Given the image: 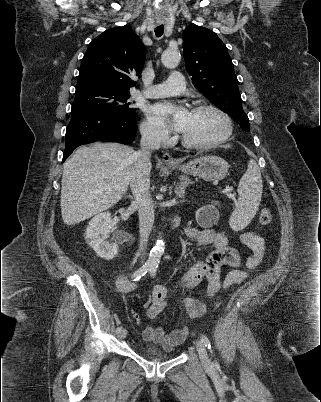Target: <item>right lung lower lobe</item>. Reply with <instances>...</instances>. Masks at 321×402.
I'll return each mask as SVG.
<instances>
[{
	"label": "right lung lower lobe",
	"mask_w": 321,
	"mask_h": 402,
	"mask_svg": "<svg viewBox=\"0 0 321 402\" xmlns=\"http://www.w3.org/2000/svg\"><path fill=\"white\" fill-rule=\"evenodd\" d=\"M136 132V114L128 116L95 112L71 114L66 129V147L62 162L80 145L95 141L128 144L134 140Z\"/></svg>",
	"instance_id": "obj_1"
}]
</instances>
